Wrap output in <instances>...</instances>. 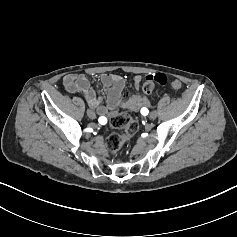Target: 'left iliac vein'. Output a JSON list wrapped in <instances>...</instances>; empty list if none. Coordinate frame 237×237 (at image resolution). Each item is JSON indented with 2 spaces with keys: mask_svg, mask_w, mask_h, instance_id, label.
Wrapping results in <instances>:
<instances>
[{
  "mask_svg": "<svg viewBox=\"0 0 237 237\" xmlns=\"http://www.w3.org/2000/svg\"><path fill=\"white\" fill-rule=\"evenodd\" d=\"M150 119H155L157 117V112L156 111H152L149 115Z\"/></svg>",
  "mask_w": 237,
  "mask_h": 237,
  "instance_id": "4c4485c4",
  "label": "left iliac vein"
}]
</instances>
